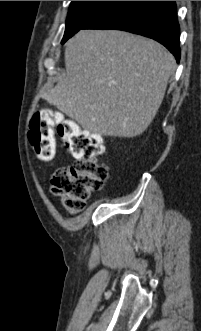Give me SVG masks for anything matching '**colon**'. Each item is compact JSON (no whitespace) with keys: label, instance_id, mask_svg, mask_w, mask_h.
<instances>
[{"label":"colon","instance_id":"1","mask_svg":"<svg viewBox=\"0 0 201 331\" xmlns=\"http://www.w3.org/2000/svg\"><path fill=\"white\" fill-rule=\"evenodd\" d=\"M56 132L75 159L71 166L59 168L51 181L52 192L58 195L70 213L82 211L91 194L102 189L108 169L101 162L104 152L100 136L82 130L74 121L51 110L37 111L32 118L29 139L42 161L54 158Z\"/></svg>","mask_w":201,"mask_h":331}]
</instances>
